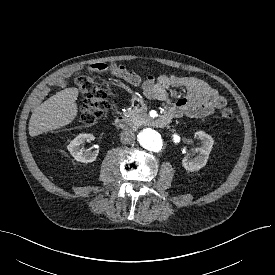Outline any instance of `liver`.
Returning a JSON list of instances; mask_svg holds the SVG:
<instances>
[{"label": "liver", "mask_w": 275, "mask_h": 275, "mask_svg": "<svg viewBox=\"0 0 275 275\" xmlns=\"http://www.w3.org/2000/svg\"><path fill=\"white\" fill-rule=\"evenodd\" d=\"M77 88H66L33 110L29 120V134L34 137L62 128L74 121L78 114Z\"/></svg>", "instance_id": "1"}]
</instances>
